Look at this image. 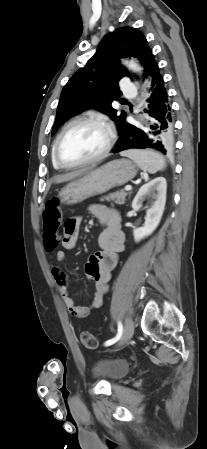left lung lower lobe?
<instances>
[{"mask_svg": "<svg viewBox=\"0 0 207 449\" xmlns=\"http://www.w3.org/2000/svg\"><path fill=\"white\" fill-rule=\"evenodd\" d=\"M147 76L151 83V96L148 100L149 115L147 123L138 128L124 122L119 130V142L114 153L131 149H156L163 154L171 152L174 145L173 116L169 96L164 86V80L159 67L154 62Z\"/></svg>", "mask_w": 207, "mask_h": 449, "instance_id": "obj_1", "label": "left lung lower lobe"}]
</instances>
